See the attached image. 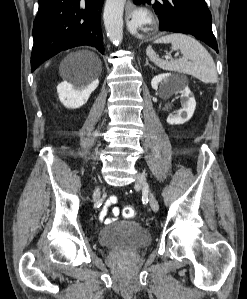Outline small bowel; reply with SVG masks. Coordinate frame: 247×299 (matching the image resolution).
<instances>
[{
	"instance_id": "small-bowel-1",
	"label": "small bowel",
	"mask_w": 247,
	"mask_h": 299,
	"mask_svg": "<svg viewBox=\"0 0 247 299\" xmlns=\"http://www.w3.org/2000/svg\"><path fill=\"white\" fill-rule=\"evenodd\" d=\"M116 202H117V197L115 195L110 196L106 200L104 206L102 207L99 213L100 221L105 223H111L114 220H116V218L120 214V209L117 206H114ZM109 214H111V217L108 216Z\"/></svg>"
}]
</instances>
